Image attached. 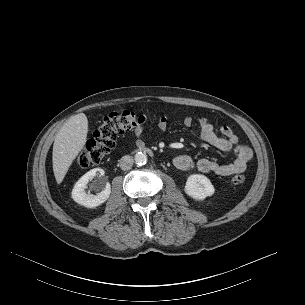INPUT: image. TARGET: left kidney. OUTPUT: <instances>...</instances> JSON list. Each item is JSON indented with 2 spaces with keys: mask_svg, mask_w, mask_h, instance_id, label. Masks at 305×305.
I'll list each match as a JSON object with an SVG mask.
<instances>
[{
  "mask_svg": "<svg viewBox=\"0 0 305 305\" xmlns=\"http://www.w3.org/2000/svg\"><path fill=\"white\" fill-rule=\"evenodd\" d=\"M184 191L195 200H203L208 196H212L215 188L206 176L193 174L188 177Z\"/></svg>",
  "mask_w": 305,
  "mask_h": 305,
  "instance_id": "obj_1",
  "label": "left kidney"
}]
</instances>
